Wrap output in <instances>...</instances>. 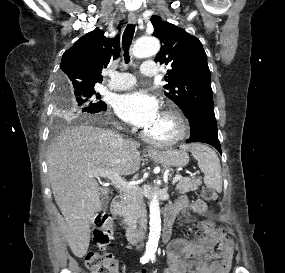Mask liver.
Segmentation results:
<instances>
[{"label":"liver","instance_id":"liver-1","mask_svg":"<svg viewBox=\"0 0 285 273\" xmlns=\"http://www.w3.org/2000/svg\"><path fill=\"white\" fill-rule=\"evenodd\" d=\"M137 147L129 140L113 146L109 131L87 125L66 128L50 144L48 176L66 221L65 238L76 257L87 253L90 220L102 209L101 195L108 193L94 172L108 170L121 176L137 172L141 162Z\"/></svg>","mask_w":285,"mask_h":273}]
</instances>
